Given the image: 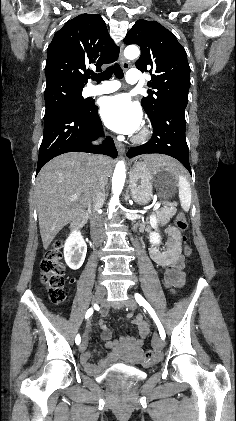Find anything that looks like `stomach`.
I'll use <instances>...</instances> for the list:
<instances>
[{
  "instance_id": "0dacf381",
  "label": "stomach",
  "mask_w": 236,
  "mask_h": 421,
  "mask_svg": "<svg viewBox=\"0 0 236 421\" xmlns=\"http://www.w3.org/2000/svg\"><path fill=\"white\" fill-rule=\"evenodd\" d=\"M178 176L168 166H148L135 162L129 172L131 196L137 204H147L157 188L161 198H171L176 192Z\"/></svg>"
}]
</instances>
